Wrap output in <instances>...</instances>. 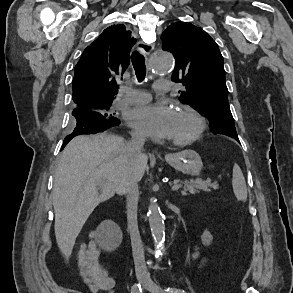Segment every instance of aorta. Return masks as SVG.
I'll list each match as a JSON object with an SVG mask.
<instances>
[{"label": "aorta", "instance_id": "aorta-1", "mask_svg": "<svg viewBox=\"0 0 293 293\" xmlns=\"http://www.w3.org/2000/svg\"><path fill=\"white\" fill-rule=\"evenodd\" d=\"M173 66L174 59L169 52L163 50H156L153 52L152 59L149 64V69L153 74L167 73L171 71ZM148 218L154 240L156 255H159L163 251L165 240V224L164 215L158 204L152 203L148 207Z\"/></svg>", "mask_w": 293, "mask_h": 293}]
</instances>
